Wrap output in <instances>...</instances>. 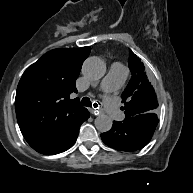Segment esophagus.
<instances>
[{"label":"esophagus","instance_id":"esophagus-1","mask_svg":"<svg viewBox=\"0 0 193 193\" xmlns=\"http://www.w3.org/2000/svg\"><path fill=\"white\" fill-rule=\"evenodd\" d=\"M91 113L95 116L99 115L100 114V110H98V108H94L91 110Z\"/></svg>","mask_w":193,"mask_h":193}]
</instances>
